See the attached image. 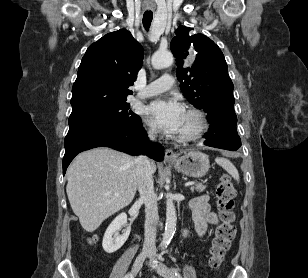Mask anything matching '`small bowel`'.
I'll return each instance as SVG.
<instances>
[{"label":"small bowel","mask_w":308,"mask_h":278,"mask_svg":"<svg viewBox=\"0 0 308 278\" xmlns=\"http://www.w3.org/2000/svg\"><path fill=\"white\" fill-rule=\"evenodd\" d=\"M190 209L192 211L196 232L200 237L206 234L209 225L218 223V216L212 211V205L208 195H201L194 198L190 202ZM184 234L186 235L187 232L185 231Z\"/></svg>","instance_id":"c3829d8e"}]
</instances>
